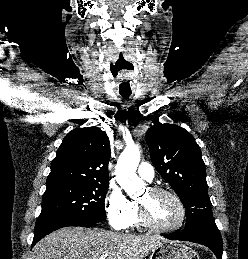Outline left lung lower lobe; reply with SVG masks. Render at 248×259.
Here are the masks:
<instances>
[{"instance_id": "0a47b994", "label": "left lung lower lobe", "mask_w": 248, "mask_h": 259, "mask_svg": "<svg viewBox=\"0 0 248 259\" xmlns=\"http://www.w3.org/2000/svg\"><path fill=\"white\" fill-rule=\"evenodd\" d=\"M164 237L171 240H184L203 244L215 253L217 259H222V238L216 224L192 231L166 234Z\"/></svg>"}]
</instances>
